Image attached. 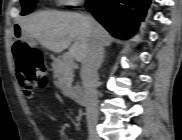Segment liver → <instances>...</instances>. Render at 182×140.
Masks as SVG:
<instances>
[{"label": "liver", "mask_w": 182, "mask_h": 140, "mask_svg": "<svg viewBox=\"0 0 182 140\" xmlns=\"http://www.w3.org/2000/svg\"><path fill=\"white\" fill-rule=\"evenodd\" d=\"M19 26L24 40H37L55 53L69 47V53L78 62L87 57L93 38L102 46H109L113 40L102 25L93 20L88 26L85 16L75 12L41 11L22 19Z\"/></svg>", "instance_id": "6515ba94"}]
</instances>
